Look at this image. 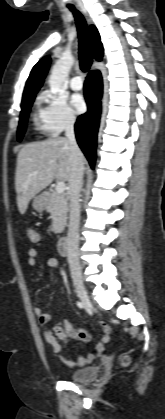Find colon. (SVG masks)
Instances as JSON below:
<instances>
[{
    "instance_id": "5ec220e1",
    "label": "colon",
    "mask_w": 165,
    "mask_h": 419,
    "mask_svg": "<svg viewBox=\"0 0 165 419\" xmlns=\"http://www.w3.org/2000/svg\"><path fill=\"white\" fill-rule=\"evenodd\" d=\"M28 237H29L30 241L35 242V243L38 242V240H39L38 234L34 229H29L28 230ZM100 330L103 331V333H104L103 336H107L106 335L107 326L105 324L100 325ZM53 331L60 337L64 336L63 331L58 327L53 328ZM129 361H130L129 356H124L121 360L123 365H127L129 363Z\"/></svg>"
}]
</instances>
